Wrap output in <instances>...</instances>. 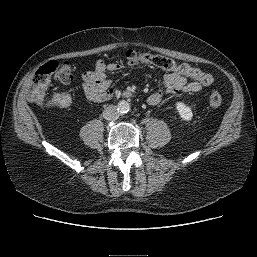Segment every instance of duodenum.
I'll return each mask as SVG.
<instances>
[{"instance_id": "1", "label": "duodenum", "mask_w": 257, "mask_h": 257, "mask_svg": "<svg viewBox=\"0 0 257 257\" xmlns=\"http://www.w3.org/2000/svg\"><path fill=\"white\" fill-rule=\"evenodd\" d=\"M127 95V93H121L120 95H119V97H125Z\"/></svg>"}]
</instances>
